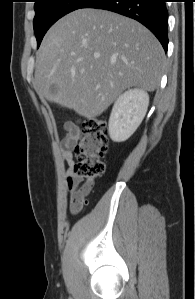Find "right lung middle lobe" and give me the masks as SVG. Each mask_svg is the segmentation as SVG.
Returning a JSON list of instances; mask_svg holds the SVG:
<instances>
[{"label": "right lung middle lobe", "instance_id": "dd1d6c3e", "mask_svg": "<svg viewBox=\"0 0 195 299\" xmlns=\"http://www.w3.org/2000/svg\"><path fill=\"white\" fill-rule=\"evenodd\" d=\"M88 0H35L34 32L39 47L46 31L64 15L81 8Z\"/></svg>", "mask_w": 195, "mask_h": 299}]
</instances>
